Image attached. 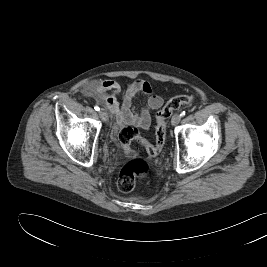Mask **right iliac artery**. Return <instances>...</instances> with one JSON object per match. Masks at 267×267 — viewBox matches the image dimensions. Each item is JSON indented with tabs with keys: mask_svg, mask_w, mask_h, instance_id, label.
<instances>
[{
	"mask_svg": "<svg viewBox=\"0 0 267 267\" xmlns=\"http://www.w3.org/2000/svg\"><path fill=\"white\" fill-rule=\"evenodd\" d=\"M94 109H95L96 111H99V110H100L99 106H97V105L94 107Z\"/></svg>",
	"mask_w": 267,
	"mask_h": 267,
	"instance_id": "82829eb1",
	"label": "right iliac artery"
}]
</instances>
